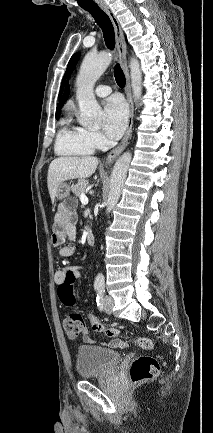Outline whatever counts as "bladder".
Returning a JSON list of instances; mask_svg holds the SVG:
<instances>
[{"instance_id": "31cf9c89", "label": "bladder", "mask_w": 213, "mask_h": 433, "mask_svg": "<svg viewBox=\"0 0 213 433\" xmlns=\"http://www.w3.org/2000/svg\"><path fill=\"white\" fill-rule=\"evenodd\" d=\"M119 351L93 345H81L76 353V370L83 379L110 373L122 360Z\"/></svg>"}]
</instances>
